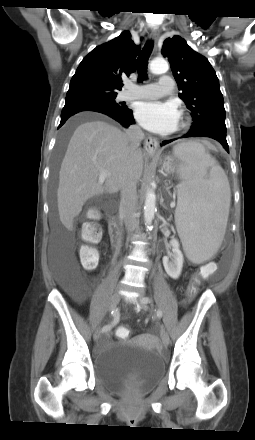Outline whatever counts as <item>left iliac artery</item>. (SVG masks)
Returning <instances> with one entry per match:
<instances>
[{"label": "left iliac artery", "mask_w": 255, "mask_h": 440, "mask_svg": "<svg viewBox=\"0 0 255 440\" xmlns=\"http://www.w3.org/2000/svg\"><path fill=\"white\" fill-rule=\"evenodd\" d=\"M142 301L144 302V303H150V298L149 297H144L143 299H142ZM162 311L161 310H157V316H158V318H161L162 317Z\"/></svg>", "instance_id": "left-iliac-artery-1"}]
</instances>
